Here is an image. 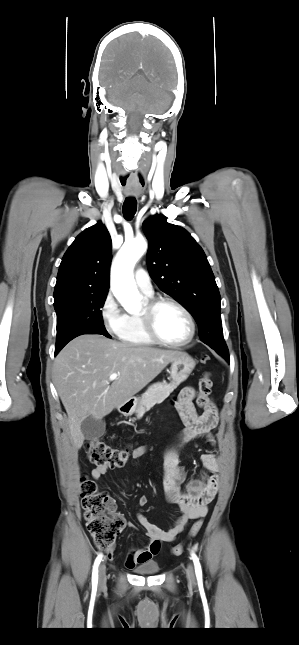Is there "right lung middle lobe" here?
Instances as JSON below:
<instances>
[{
    "mask_svg": "<svg viewBox=\"0 0 299 645\" xmlns=\"http://www.w3.org/2000/svg\"><path fill=\"white\" fill-rule=\"evenodd\" d=\"M106 296L107 293L68 295L54 303L57 314L55 350L62 349L70 340L82 334H102L110 338L100 310Z\"/></svg>",
    "mask_w": 299,
    "mask_h": 645,
    "instance_id": "1",
    "label": "right lung middle lobe"
}]
</instances>
